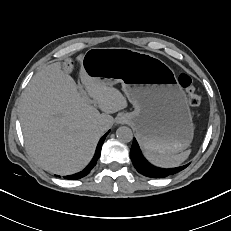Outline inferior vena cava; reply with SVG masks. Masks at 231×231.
<instances>
[{
	"mask_svg": "<svg viewBox=\"0 0 231 231\" xmlns=\"http://www.w3.org/2000/svg\"><path fill=\"white\" fill-rule=\"evenodd\" d=\"M100 128H101L102 130L105 129V127H104L103 125H102Z\"/></svg>",
	"mask_w": 231,
	"mask_h": 231,
	"instance_id": "obj_1",
	"label": "inferior vena cava"
}]
</instances>
